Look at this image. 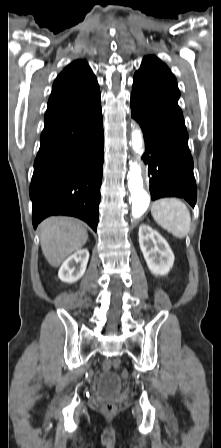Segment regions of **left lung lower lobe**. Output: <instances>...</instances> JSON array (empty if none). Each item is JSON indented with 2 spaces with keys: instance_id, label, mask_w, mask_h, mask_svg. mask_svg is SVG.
I'll return each mask as SVG.
<instances>
[{
  "instance_id": "0a47b994",
  "label": "left lung lower lobe",
  "mask_w": 221,
  "mask_h": 448,
  "mask_svg": "<svg viewBox=\"0 0 221 448\" xmlns=\"http://www.w3.org/2000/svg\"><path fill=\"white\" fill-rule=\"evenodd\" d=\"M131 115L145 139L142 159L148 164L151 199L181 197L194 207L197 189L182 113L133 88Z\"/></svg>"
}]
</instances>
